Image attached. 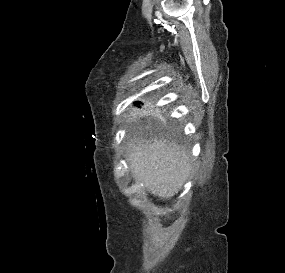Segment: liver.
<instances>
[{"label":"liver","instance_id":"6515ba94","mask_svg":"<svg viewBox=\"0 0 285 273\" xmlns=\"http://www.w3.org/2000/svg\"><path fill=\"white\" fill-rule=\"evenodd\" d=\"M127 157L134 179L161 199L177 194L190 172L184 149L162 140L131 141Z\"/></svg>","mask_w":285,"mask_h":273}]
</instances>
